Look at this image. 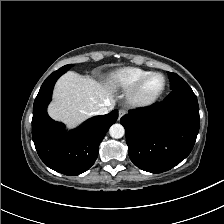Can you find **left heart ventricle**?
Wrapping results in <instances>:
<instances>
[{
  "label": "left heart ventricle",
  "instance_id": "1",
  "mask_svg": "<svg viewBox=\"0 0 224 224\" xmlns=\"http://www.w3.org/2000/svg\"><path fill=\"white\" fill-rule=\"evenodd\" d=\"M164 87V78L161 75L151 76L143 85L140 96L148 99L158 94Z\"/></svg>",
  "mask_w": 224,
  "mask_h": 224
}]
</instances>
